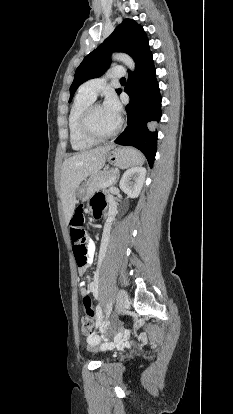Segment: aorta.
Masks as SVG:
<instances>
[{
    "mask_svg": "<svg viewBox=\"0 0 233 414\" xmlns=\"http://www.w3.org/2000/svg\"><path fill=\"white\" fill-rule=\"evenodd\" d=\"M113 60L122 62L125 66H127L131 71L135 70V63L133 59L124 53H114L112 55Z\"/></svg>",
    "mask_w": 233,
    "mask_h": 414,
    "instance_id": "aorta-1",
    "label": "aorta"
}]
</instances>
